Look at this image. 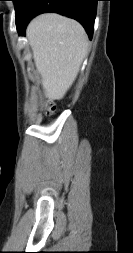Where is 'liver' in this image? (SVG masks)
I'll return each instance as SVG.
<instances>
[{"label":"liver","instance_id":"1","mask_svg":"<svg viewBox=\"0 0 133 253\" xmlns=\"http://www.w3.org/2000/svg\"><path fill=\"white\" fill-rule=\"evenodd\" d=\"M26 36L46 97L61 99L74 82L88 51L84 28L73 19L49 13L33 19Z\"/></svg>","mask_w":133,"mask_h":253}]
</instances>
